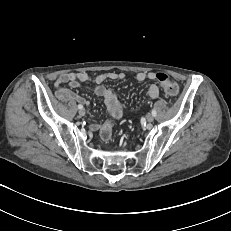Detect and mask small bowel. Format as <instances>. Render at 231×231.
I'll return each instance as SVG.
<instances>
[{
    "mask_svg": "<svg viewBox=\"0 0 231 231\" xmlns=\"http://www.w3.org/2000/svg\"><path fill=\"white\" fill-rule=\"evenodd\" d=\"M155 73L149 72V73H143L140 72L136 75V80L139 82L148 80H154L155 79ZM126 79V75L122 72H108L103 73L100 75H97L95 77H90L85 72H71V73H65L62 74L55 82L54 88H55V95L57 98L63 100V101H77L83 104H88V101L72 91L71 89L79 88L81 87L82 83L90 82L92 83V86L87 87L92 93H94L97 96L102 97L104 104L111 116L112 119H121L123 116V110L121 103L117 97V95L109 88L105 87L103 83L108 80L117 81V80H124ZM67 85L69 88L65 87L64 85ZM148 96L152 99H155L159 95V88L156 84H151L148 87ZM111 124L110 121H106L105 124ZM103 125L99 124H90L89 128L91 130H98L103 127Z\"/></svg>",
    "mask_w": 231,
    "mask_h": 231,
    "instance_id": "obj_1",
    "label": "small bowel"
}]
</instances>
